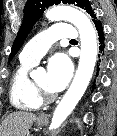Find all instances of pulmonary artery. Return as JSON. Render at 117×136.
Instances as JSON below:
<instances>
[{
    "label": "pulmonary artery",
    "instance_id": "1",
    "mask_svg": "<svg viewBox=\"0 0 117 136\" xmlns=\"http://www.w3.org/2000/svg\"><path fill=\"white\" fill-rule=\"evenodd\" d=\"M77 36L75 27L67 23L51 26L24 46L20 55L21 60L36 63L55 41L59 39H76Z\"/></svg>",
    "mask_w": 117,
    "mask_h": 136
}]
</instances>
